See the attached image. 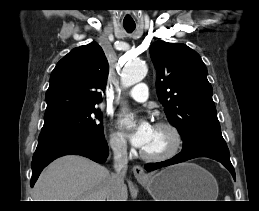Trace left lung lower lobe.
<instances>
[{
    "label": "left lung lower lobe",
    "mask_w": 259,
    "mask_h": 211,
    "mask_svg": "<svg viewBox=\"0 0 259 211\" xmlns=\"http://www.w3.org/2000/svg\"><path fill=\"white\" fill-rule=\"evenodd\" d=\"M197 157H208L222 163L236 179L235 170L230 162L229 150L226 144L216 142H202L187 150H183L170 160L160 163H149L145 165L147 171H153L165 166L181 163Z\"/></svg>",
    "instance_id": "obj_1"
}]
</instances>
